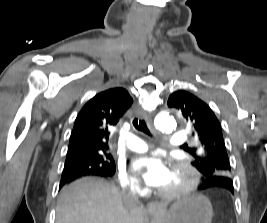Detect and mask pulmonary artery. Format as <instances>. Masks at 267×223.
<instances>
[{
	"mask_svg": "<svg viewBox=\"0 0 267 223\" xmlns=\"http://www.w3.org/2000/svg\"><path fill=\"white\" fill-rule=\"evenodd\" d=\"M185 142V137L180 134L172 135L169 138V144L174 147H179ZM127 146L135 152H144L148 149V143L134 134L127 136Z\"/></svg>",
	"mask_w": 267,
	"mask_h": 223,
	"instance_id": "pulmonary-artery-1",
	"label": "pulmonary artery"
}]
</instances>
